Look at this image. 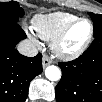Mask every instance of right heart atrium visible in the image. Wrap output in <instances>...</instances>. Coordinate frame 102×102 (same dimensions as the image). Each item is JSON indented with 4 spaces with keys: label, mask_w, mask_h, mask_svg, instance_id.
<instances>
[{
    "label": "right heart atrium",
    "mask_w": 102,
    "mask_h": 102,
    "mask_svg": "<svg viewBox=\"0 0 102 102\" xmlns=\"http://www.w3.org/2000/svg\"><path fill=\"white\" fill-rule=\"evenodd\" d=\"M28 36L34 40L37 44H40L37 37L35 36V34L33 32H31L30 30L27 31Z\"/></svg>",
    "instance_id": "d8ad5b80"
}]
</instances>
